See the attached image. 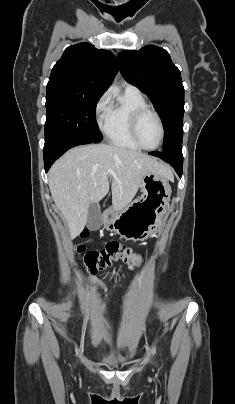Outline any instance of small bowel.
<instances>
[{
  "label": "small bowel",
  "instance_id": "1",
  "mask_svg": "<svg viewBox=\"0 0 235 404\" xmlns=\"http://www.w3.org/2000/svg\"><path fill=\"white\" fill-rule=\"evenodd\" d=\"M129 268L132 269V266H130ZM88 280H89L92 284H94V285H96L97 287H99L100 290L103 291L104 293H106V294L109 293V290H108V288L106 287V285H105L101 280H99L98 278L93 277V276H90V277H88Z\"/></svg>",
  "mask_w": 235,
  "mask_h": 404
}]
</instances>
